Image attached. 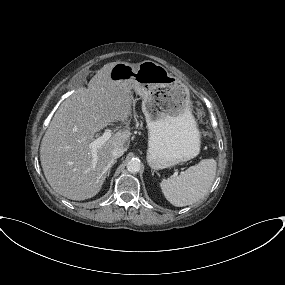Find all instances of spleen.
<instances>
[{"label":"spleen","mask_w":285,"mask_h":285,"mask_svg":"<svg viewBox=\"0 0 285 285\" xmlns=\"http://www.w3.org/2000/svg\"><path fill=\"white\" fill-rule=\"evenodd\" d=\"M216 169V160H201L178 176L163 179L160 188L172 205L176 207L191 205L208 193L214 182Z\"/></svg>","instance_id":"obj_1"}]
</instances>
